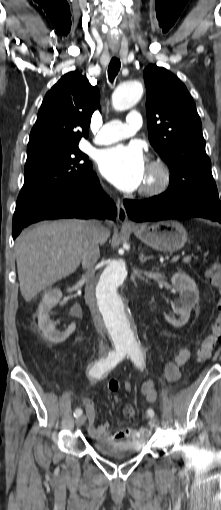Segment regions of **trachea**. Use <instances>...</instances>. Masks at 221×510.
Segmentation results:
<instances>
[{
    "instance_id": "obj_1",
    "label": "trachea",
    "mask_w": 221,
    "mask_h": 510,
    "mask_svg": "<svg viewBox=\"0 0 221 510\" xmlns=\"http://www.w3.org/2000/svg\"><path fill=\"white\" fill-rule=\"evenodd\" d=\"M121 67V62L118 58L113 57L109 63L108 67V77L110 82H113L116 75L118 74Z\"/></svg>"
}]
</instances>
